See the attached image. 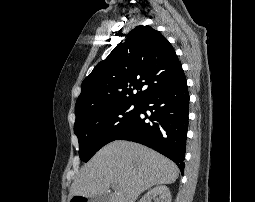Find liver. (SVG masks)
Wrapping results in <instances>:
<instances>
[{"instance_id":"1","label":"liver","mask_w":255,"mask_h":202,"mask_svg":"<svg viewBox=\"0 0 255 202\" xmlns=\"http://www.w3.org/2000/svg\"><path fill=\"white\" fill-rule=\"evenodd\" d=\"M174 162L138 143L116 140L100 149L85 164L70 188V196L93 198L114 193L109 202H135L145 190L176 181Z\"/></svg>"}]
</instances>
